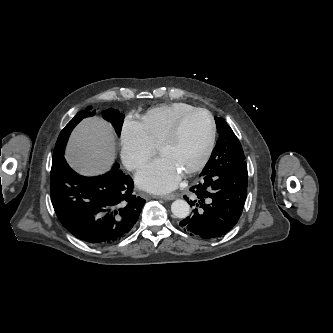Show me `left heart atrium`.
<instances>
[{"label": "left heart atrium", "instance_id": "1", "mask_svg": "<svg viewBox=\"0 0 333 333\" xmlns=\"http://www.w3.org/2000/svg\"><path fill=\"white\" fill-rule=\"evenodd\" d=\"M182 173L166 157L162 156L146 164L136 175L137 184L153 193H167L177 187Z\"/></svg>", "mask_w": 333, "mask_h": 333}]
</instances>
